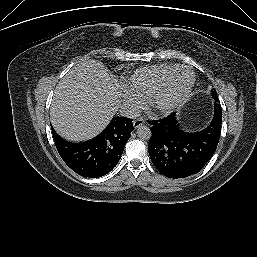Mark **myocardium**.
Masks as SVG:
<instances>
[{
    "label": "myocardium",
    "instance_id": "obj_1",
    "mask_svg": "<svg viewBox=\"0 0 257 257\" xmlns=\"http://www.w3.org/2000/svg\"><path fill=\"white\" fill-rule=\"evenodd\" d=\"M180 70H186L190 73V76H191L190 82L180 94L171 98H166L165 91H166L167 83L169 79L176 72ZM195 81H196L195 73L190 67L185 65L175 66L161 78L155 90L153 91L150 98L148 99L151 108L157 112L166 113L180 106L191 94L192 89L195 85Z\"/></svg>",
    "mask_w": 257,
    "mask_h": 257
}]
</instances>
